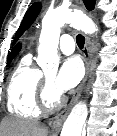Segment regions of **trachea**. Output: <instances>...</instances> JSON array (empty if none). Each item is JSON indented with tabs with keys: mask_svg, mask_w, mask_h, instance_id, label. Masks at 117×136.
<instances>
[{
	"mask_svg": "<svg viewBox=\"0 0 117 136\" xmlns=\"http://www.w3.org/2000/svg\"><path fill=\"white\" fill-rule=\"evenodd\" d=\"M76 42H77L78 47L80 49H82L83 46H84V43H85V37L83 35H81V34H78L76 36Z\"/></svg>",
	"mask_w": 117,
	"mask_h": 136,
	"instance_id": "3493384b",
	"label": "trachea"
}]
</instances>
